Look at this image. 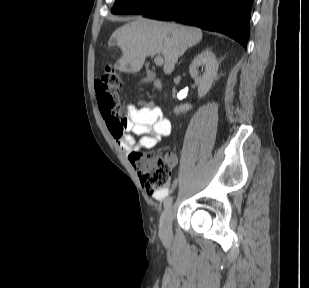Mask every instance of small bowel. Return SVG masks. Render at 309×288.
<instances>
[{
	"label": "small bowel",
	"mask_w": 309,
	"mask_h": 288,
	"mask_svg": "<svg viewBox=\"0 0 309 288\" xmlns=\"http://www.w3.org/2000/svg\"><path fill=\"white\" fill-rule=\"evenodd\" d=\"M109 133L116 139L120 148L125 151L131 160V155L141 148L151 149L156 147L163 137L171 132V121L163 116L160 107L153 102L144 103L141 109L133 110L125 122H116L106 119ZM134 136L140 138L136 143ZM167 159L172 166H176L178 159L175 153L167 154ZM168 190L153 194V199L162 201Z\"/></svg>",
	"instance_id": "1"
}]
</instances>
